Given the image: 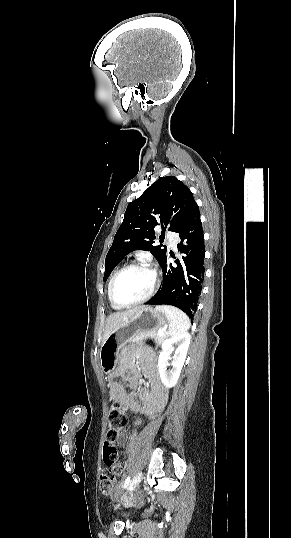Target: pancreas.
I'll list each match as a JSON object with an SVG mask.
<instances>
[{
	"mask_svg": "<svg viewBox=\"0 0 291 538\" xmlns=\"http://www.w3.org/2000/svg\"><path fill=\"white\" fill-rule=\"evenodd\" d=\"M168 337L167 334L159 335L158 332H145V333H139L137 336H135L132 339V342H141L142 340L146 338L153 339L158 345H161L166 338Z\"/></svg>",
	"mask_w": 291,
	"mask_h": 538,
	"instance_id": "pancreas-1",
	"label": "pancreas"
}]
</instances>
